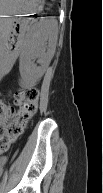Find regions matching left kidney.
<instances>
[{
  "instance_id": "obj_1",
  "label": "left kidney",
  "mask_w": 103,
  "mask_h": 193,
  "mask_svg": "<svg viewBox=\"0 0 103 193\" xmlns=\"http://www.w3.org/2000/svg\"><path fill=\"white\" fill-rule=\"evenodd\" d=\"M56 36V21L43 20L37 24L32 39L20 55L19 71L22 77L35 82L45 73L52 58ZM35 59L38 65L34 63Z\"/></svg>"
}]
</instances>
